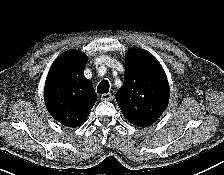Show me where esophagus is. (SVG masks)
Segmentation results:
<instances>
[{"label": "esophagus", "instance_id": "obj_1", "mask_svg": "<svg viewBox=\"0 0 224 175\" xmlns=\"http://www.w3.org/2000/svg\"><path fill=\"white\" fill-rule=\"evenodd\" d=\"M103 101H111L113 99V95L111 93L102 94L100 97Z\"/></svg>", "mask_w": 224, "mask_h": 175}]
</instances>
